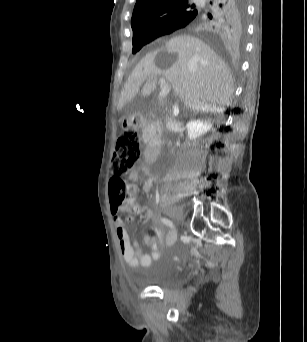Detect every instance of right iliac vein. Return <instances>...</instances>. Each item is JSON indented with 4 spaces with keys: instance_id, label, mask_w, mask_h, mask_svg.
Returning a JSON list of instances; mask_svg holds the SVG:
<instances>
[{
    "instance_id": "63e3f726",
    "label": "right iliac vein",
    "mask_w": 307,
    "mask_h": 342,
    "mask_svg": "<svg viewBox=\"0 0 307 342\" xmlns=\"http://www.w3.org/2000/svg\"><path fill=\"white\" fill-rule=\"evenodd\" d=\"M176 239H177V231L176 229H173L167 237V244L168 245L173 244L176 241Z\"/></svg>"
}]
</instances>
